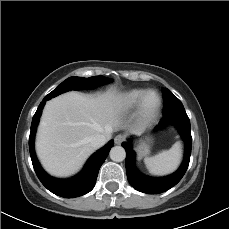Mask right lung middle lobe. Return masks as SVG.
I'll return each mask as SVG.
<instances>
[{
    "mask_svg": "<svg viewBox=\"0 0 229 229\" xmlns=\"http://www.w3.org/2000/svg\"><path fill=\"white\" fill-rule=\"evenodd\" d=\"M111 82V79L106 78L104 76H93L90 78L83 77H69L65 81H63L60 85H58L52 92H50L45 98L47 100L64 93L70 90L76 89H89L95 88L101 84H105Z\"/></svg>",
    "mask_w": 229,
    "mask_h": 229,
    "instance_id": "obj_1",
    "label": "right lung middle lobe"
}]
</instances>
